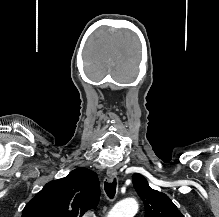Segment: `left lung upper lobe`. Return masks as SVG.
<instances>
[{"label": "left lung upper lobe", "instance_id": "left-lung-upper-lobe-1", "mask_svg": "<svg viewBox=\"0 0 219 217\" xmlns=\"http://www.w3.org/2000/svg\"><path fill=\"white\" fill-rule=\"evenodd\" d=\"M132 179L134 188L144 203L145 217H184L170 198L150 188L141 174H133Z\"/></svg>", "mask_w": 219, "mask_h": 217}]
</instances>
